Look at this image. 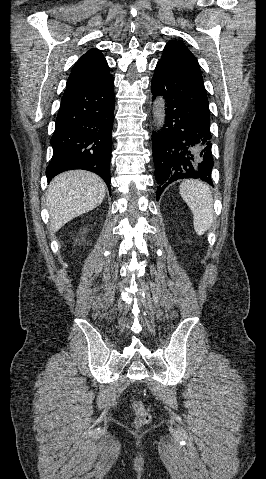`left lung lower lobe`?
Returning a JSON list of instances; mask_svg holds the SVG:
<instances>
[{
  "label": "left lung lower lobe",
  "instance_id": "0a47b994",
  "mask_svg": "<svg viewBox=\"0 0 266 479\" xmlns=\"http://www.w3.org/2000/svg\"><path fill=\"white\" fill-rule=\"evenodd\" d=\"M151 89L154 97L162 95L166 101V128L152 133L156 199L178 179H201L213 185L210 116L204 85L158 62Z\"/></svg>",
  "mask_w": 266,
  "mask_h": 479
}]
</instances>
